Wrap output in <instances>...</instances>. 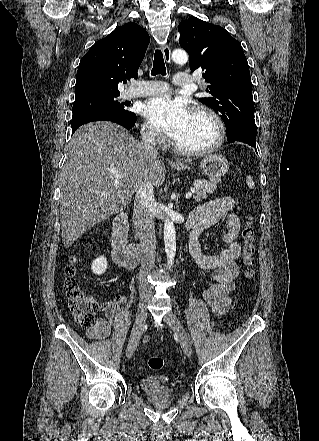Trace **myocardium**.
<instances>
[{
  "label": "myocardium",
  "instance_id": "1",
  "mask_svg": "<svg viewBox=\"0 0 319 441\" xmlns=\"http://www.w3.org/2000/svg\"><path fill=\"white\" fill-rule=\"evenodd\" d=\"M191 113H201L208 116L216 128V137L209 145L200 148H185L179 145L175 140L172 141L173 149L183 155L199 156L211 153L217 149L224 141L226 130L222 118L210 107L205 105H195L191 108Z\"/></svg>",
  "mask_w": 319,
  "mask_h": 441
}]
</instances>
